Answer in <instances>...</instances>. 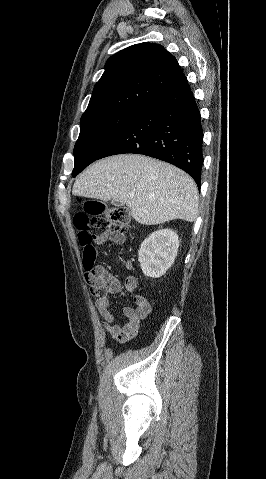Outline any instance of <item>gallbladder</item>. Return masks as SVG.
Masks as SVG:
<instances>
[{
  "label": "gallbladder",
  "mask_w": 266,
  "mask_h": 479,
  "mask_svg": "<svg viewBox=\"0 0 266 479\" xmlns=\"http://www.w3.org/2000/svg\"><path fill=\"white\" fill-rule=\"evenodd\" d=\"M111 203L115 206H122L123 205V203H121L119 201H116V200H113V199L111 200Z\"/></svg>",
  "instance_id": "bac80fb5"
}]
</instances>
